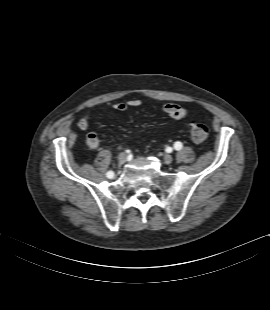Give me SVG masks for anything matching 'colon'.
<instances>
[{
	"label": "colon",
	"instance_id": "obj_1",
	"mask_svg": "<svg viewBox=\"0 0 270 310\" xmlns=\"http://www.w3.org/2000/svg\"><path fill=\"white\" fill-rule=\"evenodd\" d=\"M209 130L206 125L196 123L191 126V137L197 142H204L208 137Z\"/></svg>",
	"mask_w": 270,
	"mask_h": 310
}]
</instances>
